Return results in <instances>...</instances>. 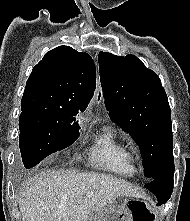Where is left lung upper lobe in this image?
<instances>
[{
    "label": "left lung upper lobe",
    "instance_id": "5c2ea615",
    "mask_svg": "<svg viewBox=\"0 0 190 221\" xmlns=\"http://www.w3.org/2000/svg\"><path fill=\"white\" fill-rule=\"evenodd\" d=\"M98 61L109 115L139 146L150 182L174 160L171 113L161 80L134 55L100 52Z\"/></svg>",
    "mask_w": 190,
    "mask_h": 221
}]
</instances>
